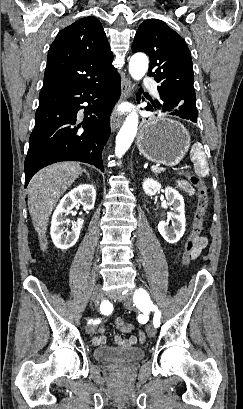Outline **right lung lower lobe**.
Masks as SVG:
<instances>
[{
  "mask_svg": "<svg viewBox=\"0 0 243 409\" xmlns=\"http://www.w3.org/2000/svg\"><path fill=\"white\" fill-rule=\"evenodd\" d=\"M120 92L116 70L96 82L40 92L24 165L25 187L37 171L59 161H81L104 171L102 151ZM85 102L88 106L82 105ZM83 108L80 122L78 111Z\"/></svg>",
  "mask_w": 243,
  "mask_h": 409,
  "instance_id": "98d812e1",
  "label": "right lung lower lobe"
}]
</instances>
